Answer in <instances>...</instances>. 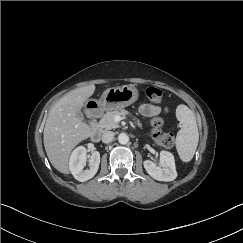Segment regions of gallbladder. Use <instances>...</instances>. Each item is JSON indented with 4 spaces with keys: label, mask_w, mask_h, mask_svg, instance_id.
Returning <instances> with one entry per match:
<instances>
[{
    "label": "gallbladder",
    "mask_w": 243,
    "mask_h": 243,
    "mask_svg": "<svg viewBox=\"0 0 243 243\" xmlns=\"http://www.w3.org/2000/svg\"><path fill=\"white\" fill-rule=\"evenodd\" d=\"M78 117H80L81 119H83V115L81 113H78Z\"/></svg>",
    "instance_id": "bac80fb5"
}]
</instances>
